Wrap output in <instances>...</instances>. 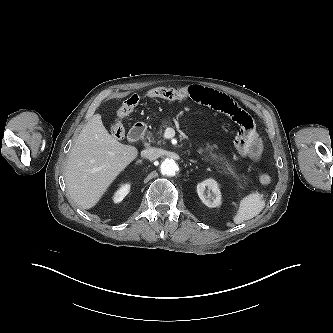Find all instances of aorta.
Wrapping results in <instances>:
<instances>
[{
    "mask_svg": "<svg viewBox=\"0 0 333 333\" xmlns=\"http://www.w3.org/2000/svg\"><path fill=\"white\" fill-rule=\"evenodd\" d=\"M161 173L163 175L173 176L178 170V165L173 159H165L160 166Z\"/></svg>",
    "mask_w": 333,
    "mask_h": 333,
    "instance_id": "obj_1",
    "label": "aorta"
}]
</instances>
